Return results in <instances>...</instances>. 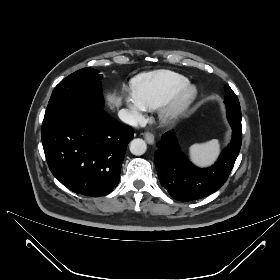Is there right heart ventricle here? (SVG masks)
<instances>
[{
  "instance_id": "e07e8e85",
  "label": "right heart ventricle",
  "mask_w": 280,
  "mask_h": 280,
  "mask_svg": "<svg viewBox=\"0 0 280 280\" xmlns=\"http://www.w3.org/2000/svg\"><path fill=\"white\" fill-rule=\"evenodd\" d=\"M186 84V76L164 69L141 73L132 80L133 93L147 110L157 109Z\"/></svg>"
}]
</instances>
